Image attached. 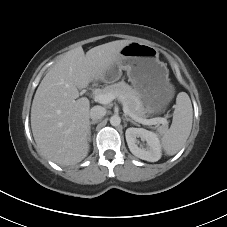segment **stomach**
Returning a JSON list of instances; mask_svg holds the SVG:
<instances>
[{
	"label": "stomach",
	"instance_id": "0dacf381",
	"mask_svg": "<svg viewBox=\"0 0 227 227\" xmlns=\"http://www.w3.org/2000/svg\"><path fill=\"white\" fill-rule=\"evenodd\" d=\"M122 70L127 72L129 81L142 99L147 116L166 109L175 89L170 83L167 65L159 60L157 48L130 42L121 49L119 60L107 70L102 80L107 83L117 81Z\"/></svg>",
	"mask_w": 227,
	"mask_h": 227
}]
</instances>
